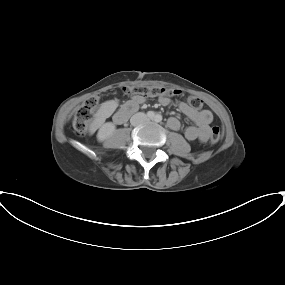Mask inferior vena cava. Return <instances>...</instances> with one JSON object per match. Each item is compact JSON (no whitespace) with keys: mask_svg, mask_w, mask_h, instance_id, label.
I'll return each instance as SVG.
<instances>
[{"mask_svg":"<svg viewBox=\"0 0 285 285\" xmlns=\"http://www.w3.org/2000/svg\"><path fill=\"white\" fill-rule=\"evenodd\" d=\"M148 120L149 118L147 117L145 113L139 112V113L134 114L131 117L130 123L133 126H137V125L147 122Z\"/></svg>","mask_w":285,"mask_h":285,"instance_id":"602c4592","label":"inferior vena cava"}]
</instances>
